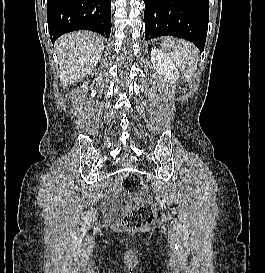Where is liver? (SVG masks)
Listing matches in <instances>:
<instances>
[{"label": "liver", "instance_id": "1", "mask_svg": "<svg viewBox=\"0 0 265 273\" xmlns=\"http://www.w3.org/2000/svg\"><path fill=\"white\" fill-rule=\"evenodd\" d=\"M103 49V38L88 31L68 33L58 39L61 85L65 88L89 74L99 62Z\"/></svg>", "mask_w": 265, "mask_h": 273}]
</instances>
